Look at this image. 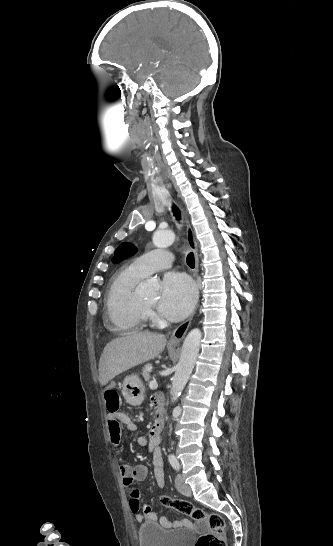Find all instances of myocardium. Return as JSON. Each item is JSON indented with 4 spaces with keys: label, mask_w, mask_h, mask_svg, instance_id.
Masks as SVG:
<instances>
[{
    "label": "myocardium",
    "mask_w": 333,
    "mask_h": 546,
    "mask_svg": "<svg viewBox=\"0 0 333 546\" xmlns=\"http://www.w3.org/2000/svg\"><path fill=\"white\" fill-rule=\"evenodd\" d=\"M141 304H142L143 308H144L146 311H148V310L151 309V306L147 305V304H146L144 301H142V300H141Z\"/></svg>",
    "instance_id": "myocardium-1"
}]
</instances>
